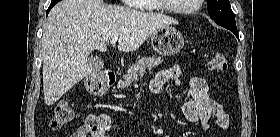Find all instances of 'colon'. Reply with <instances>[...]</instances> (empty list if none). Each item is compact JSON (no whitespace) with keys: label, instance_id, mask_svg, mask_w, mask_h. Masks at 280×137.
I'll return each mask as SVG.
<instances>
[{"label":"colon","instance_id":"colon-1","mask_svg":"<svg viewBox=\"0 0 280 137\" xmlns=\"http://www.w3.org/2000/svg\"><path fill=\"white\" fill-rule=\"evenodd\" d=\"M208 68L213 73L225 71L227 68V60L224 54H213L208 62ZM73 118V111L71 107L64 100H59L53 109V114L49 123L52 131H58L70 124ZM89 125L97 127V120L93 117L89 120ZM229 126H224L222 129L226 130Z\"/></svg>","mask_w":280,"mask_h":137}]
</instances>
